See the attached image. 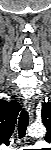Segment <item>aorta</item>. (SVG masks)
<instances>
[{
	"instance_id": "1",
	"label": "aorta",
	"mask_w": 51,
	"mask_h": 150,
	"mask_svg": "<svg viewBox=\"0 0 51 150\" xmlns=\"http://www.w3.org/2000/svg\"><path fill=\"white\" fill-rule=\"evenodd\" d=\"M46 134V128L42 124H32L28 128V135L32 137L44 136Z\"/></svg>"
}]
</instances>
